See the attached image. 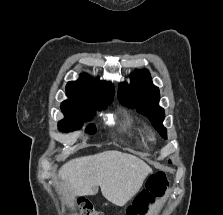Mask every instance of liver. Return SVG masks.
<instances>
[{
	"instance_id": "6515ba94",
	"label": "liver",
	"mask_w": 223,
	"mask_h": 215,
	"mask_svg": "<svg viewBox=\"0 0 223 215\" xmlns=\"http://www.w3.org/2000/svg\"><path fill=\"white\" fill-rule=\"evenodd\" d=\"M149 173L152 169L143 159L111 149L70 159L59 169L58 175L74 195H95L100 185L108 201L125 205L139 191Z\"/></svg>"
}]
</instances>
